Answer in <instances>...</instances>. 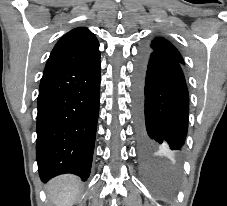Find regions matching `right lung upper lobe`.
<instances>
[{
	"mask_svg": "<svg viewBox=\"0 0 227 206\" xmlns=\"http://www.w3.org/2000/svg\"><path fill=\"white\" fill-rule=\"evenodd\" d=\"M99 43L85 27L66 33L55 45L46 63L43 75L86 64L100 57Z\"/></svg>",
	"mask_w": 227,
	"mask_h": 206,
	"instance_id": "cb5924a9",
	"label": "right lung upper lobe"
}]
</instances>
